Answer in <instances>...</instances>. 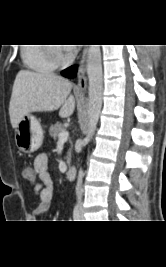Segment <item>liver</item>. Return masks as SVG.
I'll use <instances>...</instances> for the list:
<instances>
[{
  "instance_id": "6515ba94",
  "label": "liver",
  "mask_w": 166,
  "mask_h": 267,
  "mask_svg": "<svg viewBox=\"0 0 166 267\" xmlns=\"http://www.w3.org/2000/svg\"><path fill=\"white\" fill-rule=\"evenodd\" d=\"M72 84L54 73L21 70L16 75L9 104L13 128L31 112H51L60 108L66 118L75 110V98L70 95Z\"/></svg>"
}]
</instances>
